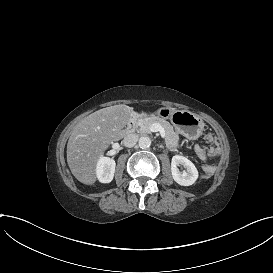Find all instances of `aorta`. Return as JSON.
<instances>
[{"instance_id": "obj_1", "label": "aorta", "mask_w": 273, "mask_h": 273, "mask_svg": "<svg viewBox=\"0 0 273 273\" xmlns=\"http://www.w3.org/2000/svg\"><path fill=\"white\" fill-rule=\"evenodd\" d=\"M138 144L140 148L147 149L151 145V139L147 136L140 137Z\"/></svg>"}]
</instances>
